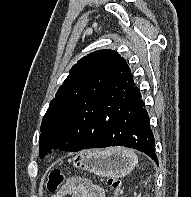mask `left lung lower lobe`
<instances>
[{"label":"left lung lower lobe","instance_id":"obj_1","mask_svg":"<svg viewBox=\"0 0 191 197\" xmlns=\"http://www.w3.org/2000/svg\"><path fill=\"white\" fill-rule=\"evenodd\" d=\"M64 131L69 151L125 146L144 152L158 164L149 117L133 78L95 97Z\"/></svg>","mask_w":191,"mask_h":197}]
</instances>
